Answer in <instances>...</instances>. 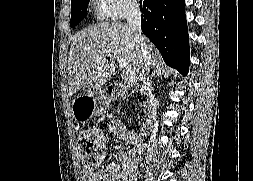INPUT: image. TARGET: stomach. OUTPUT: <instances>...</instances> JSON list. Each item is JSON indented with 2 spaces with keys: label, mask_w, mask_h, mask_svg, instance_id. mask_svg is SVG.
Instances as JSON below:
<instances>
[{
  "label": "stomach",
  "mask_w": 253,
  "mask_h": 181,
  "mask_svg": "<svg viewBox=\"0 0 253 181\" xmlns=\"http://www.w3.org/2000/svg\"><path fill=\"white\" fill-rule=\"evenodd\" d=\"M86 97V99H81ZM109 97L101 87H92L77 96L73 101L72 112L75 120L85 122L94 116L103 114L107 111Z\"/></svg>",
  "instance_id": "0dacf381"
}]
</instances>
